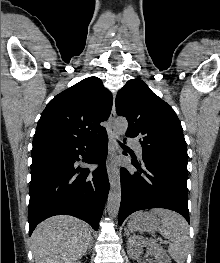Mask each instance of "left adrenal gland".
Instances as JSON below:
<instances>
[{"mask_svg": "<svg viewBox=\"0 0 220 263\" xmlns=\"http://www.w3.org/2000/svg\"><path fill=\"white\" fill-rule=\"evenodd\" d=\"M125 233H126V236L128 237L129 236V230L125 229Z\"/></svg>", "mask_w": 220, "mask_h": 263, "instance_id": "1", "label": "left adrenal gland"}]
</instances>
